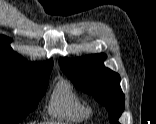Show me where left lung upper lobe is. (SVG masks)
I'll return each instance as SVG.
<instances>
[{
    "mask_svg": "<svg viewBox=\"0 0 156 124\" xmlns=\"http://www.w3.org/2000/svg\"><path fill=\"white\" fill-rule=\"evenodd\" d=\"M105 54L82 58H60V67L73 84L81 91L92 95L109 113L111 124H119L124 107V94L120 87V76L103 64Z\"/></svg>",
    "mask_w": 156,
    "mask_h": 124,
    "instance_id": "left-lung-upper-lobe-1",
    "label": "left lung upper lobe"
}]
</instances>
